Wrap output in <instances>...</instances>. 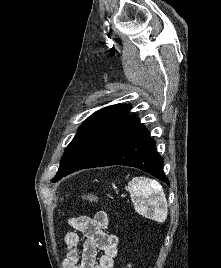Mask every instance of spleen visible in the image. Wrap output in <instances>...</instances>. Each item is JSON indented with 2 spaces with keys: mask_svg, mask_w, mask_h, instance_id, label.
<instances>
[{
  "mask_svg": "<svg viewBox=\"0 0 221 268\" xmlns=\"http://www.w3.org/2000/svg\"><path fill=\"white\" fill-rule=\"evenodd\" d=\"M128 191L137 213L157 222L167 218L168 204L162 186L147 177H135L128 183Z\"/></svg>",
  "mask_w": 221,
  "mask_h": 268,
  "instance_id": "1",
  "label": "spleen"
}]
</instances>
